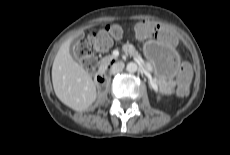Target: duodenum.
Segmentation results:
<instances>
[{"label":"duodenum","mask_w":230,"mask_h":155,"mask_svg":"<svg viewBox=\"0 0 230 155\" xmlns=\"http://www.w3.org/2000/svg\"><path fill=\"white\" fill-rule=\"evenodd\" d=\"M108 67H109V65H107L106 67H104L103 69H101L100 71L97 72L96 82L99 85H103L108 81V74H107Z\"/></svg>","instance_id":"obj_1"}]
</instances>
